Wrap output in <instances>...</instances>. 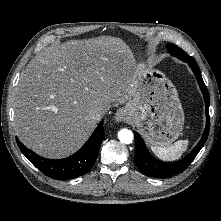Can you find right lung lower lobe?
Segmentation results:
<instances>
[{"mask_svg":"<svg viewBox=\"0 0 221 221\" xmlns=\"http://www.w3.org/2000/svg\"><path fill=\"white\" fill-rule=\"evenodd\" d=\"M104 136L103 122H101L78 152L60 160L43 158L26 148L18 139L16 142L21 152L45 175L56 180H67L82 176L91 169Z\"/></svg>","mask_w":221,"mask_h":221,"instance_id":"obj_1","label":"right lung lower lobe"}]
</instances>
